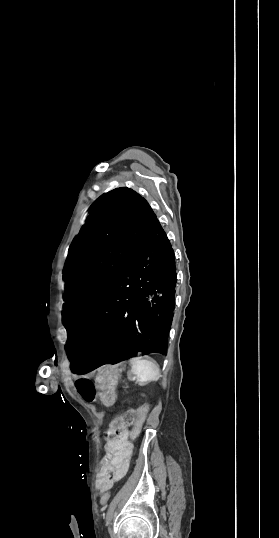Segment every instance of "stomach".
Here are the masks:
<instances>
[{
  "label": "stomach",
  "mask_w": 279,
  "mask_h": 538,
  "mask_svg": "<svg viewBox=\"0 0 279 538\" xmlns=\"http://www.w3.org/2000/svg\"><path fill=\"white\" fill-rule=\"evenodd\" d=\"M120 372L118 363H109L107 367H100L98 374L101 379L98 380L96 389L100 395V400L104 401L103 405L106 408L111 407L114 401L117 400V386L114 382L116 375Z\"/></svg>",
  "instance_id": "stomach-1"
}]
</instances>
